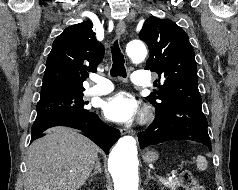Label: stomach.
<instances>
[{
	"mask_svg": "<svg viewBox=\"0 0 238 190\" xmlns=\"http://www.w3.org/2000/svg\"><path fill=\"white\" fill-rule=\"evenodd\" d=\"M157 159H158V154L155 151H147L143 155V160L146 163H153V162L157 161Z\"/></svg>",
	"mask_w": 238,
	"mask_h": 190,
	"instance_id": "0dacf381",
	"label": "stomach"
}]
</instances>
